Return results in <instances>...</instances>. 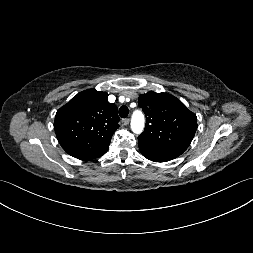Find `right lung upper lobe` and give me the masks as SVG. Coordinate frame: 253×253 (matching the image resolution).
Returning <instances> with one entry per match:
<instances>
[{"instance_id": "right-lung-upper-lobe-1", "label": "right lung upper lobe", "mask_w": 253, "mask_h": 253, "mask_svg": "<svg viewBox=\"0 0 253 253\" xmlns=\"http://www.w3.org/2000/svg\"><path fill=\"white\" fill-rule=\"evenodd\" d=\"M106 92L88 89L78 93L55 116L54 129L62 148L83 159L109 147L119 127L118 108Z\"/></svg>"}]
</instances>
